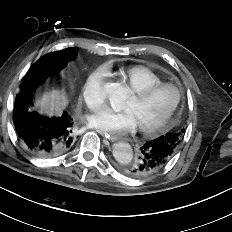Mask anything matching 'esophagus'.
<instances>
[{"label": "esophagus", "instance_id": "34e87169", "mask_svg": "<svg viewBox=\"0 0 232 232\" xmlns=\"http://www.w3.org/2000/svg\"><path fill=\"white\" fill-rule=\"evenodd\" d=\"M95 131L97 133H99L100 135H102L105 139L107 140H110V141H116L117 140V137L115 136H112L111 134L107 133V132H104L102 130H99V129H95Z\"/></svg>", "mask_w": 232, "mask_h": 232}]
</instances>
